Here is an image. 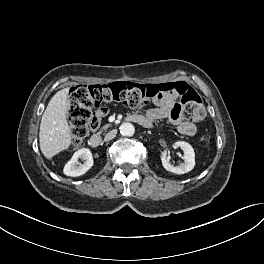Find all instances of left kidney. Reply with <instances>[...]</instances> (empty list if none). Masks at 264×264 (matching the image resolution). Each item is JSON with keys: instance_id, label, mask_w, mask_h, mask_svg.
I'll return each instance as SVG.
<instances>
[{"instance_id": "5707ae66", "label": "left kidney", "mask_w": 264, "mask_h": 264, "mask_svg": "<svg viewBox=\"0 0 264 264\" xmlns=\"http://www.w3.org/2000/svg\"><path fill=\"white\" fill-rule=\"evenodd\" d=\"M176 145L179 146L183 150V159L184 163L180 164L179 166H173L171 165L167 159H166V152L162 153V164L163 167L172 173L175 174H184L189 171H191L195 166V152L192 148V146L184 141H178L176 142Z\"/></svg>"}]
</instances>
